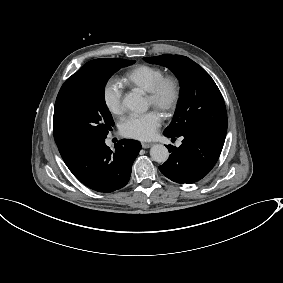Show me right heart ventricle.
<instances>
[{
    "instance_id": "e07e8e85",
    "label": "right heart ventricle",
    "mask_w": 283,
    "mask_h": 283,
    "mask_svg": "<svg viewBox=\"0 0 283 283\" xmlns=\"http://www.w3.org/2000/svg\"><path fill=\"white\" fill-rule=\"evenodd\" d=\"M164 76V71L149 64H135L123 73L124 84L136 86L148 91L152 86Z\"/></svg>"
}]
</instances>
